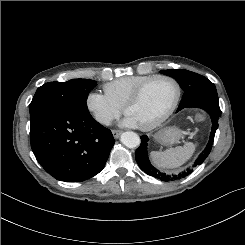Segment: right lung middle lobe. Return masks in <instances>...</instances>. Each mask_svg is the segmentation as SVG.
I'll return each mask as SVG.
<instances>
[{"label":"right lung middle lobe","mask_w":245,"mask_h":245,"mask_svg":"<svg viewBox=\"0 0 245 245\" xmlns=\"http://www.w3.org/2000/svg\"><path fill=\"white\" fill-rule=\"evenodd\" d=\"M96 81L72 79L49 82L39 87L29 105L30 116L43 109H55L68 114H89L87 97Z\"/></svg>","instance_id":"dd1d6c3e"}]
</instances>
